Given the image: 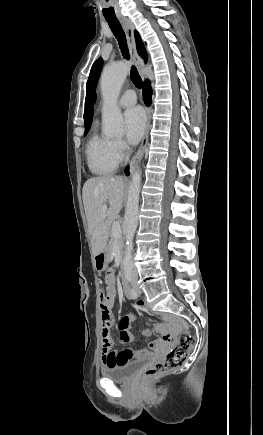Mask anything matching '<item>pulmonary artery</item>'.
Returning <instances> with one entry per match:
<instances>
[{
    "mask_svg": "<svg viewBox=\"0 0 263 435\" xmlns=\"http://www.w3.org/2000/svg\"><path fill=\"white\" fill-rule=\"evenodd\" d=\"M136 101L137 97L135 92L133 90H127L121 95L118 103L122 107H131L136 103Z\"/></svg>",
    "mask_w": 263,
    "mask_h": 435,
    "instance_id": "obj_1",
    "label": "pulmonary artery"
}]
</instances>
